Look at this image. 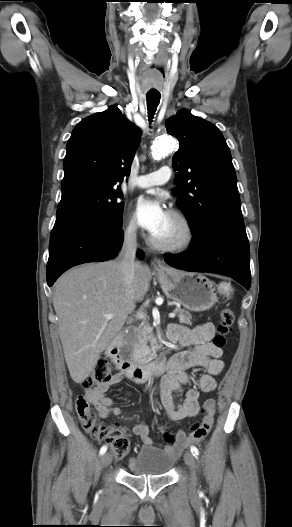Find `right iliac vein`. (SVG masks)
Returning <instances> with one entry per match:
<instances>
[{
	"label": "right iliac vein",
	"mask_w": 292,
	"mask_h": 527,
	"mask_svg": "<svg viewBox=\"0 0 292 527\" xmlns=\"http://www.w3.org/2000/svg\"><path fill=\"white\" fill-rule=\"evenodd\" d=\"M112 461V457L109 453L103 455L101 462L104 467H107Z\"/></svg>",
	"instance_id": "1"
}]
</instances>
